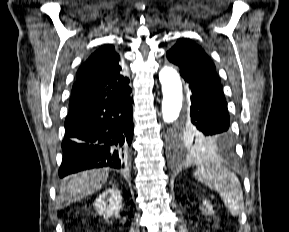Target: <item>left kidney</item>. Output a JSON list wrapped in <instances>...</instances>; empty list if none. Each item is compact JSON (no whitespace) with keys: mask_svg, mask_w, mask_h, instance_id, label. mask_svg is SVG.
<instances>
[{"mask_svg":"<svg viewBox=\"0 0 289 232\" xmlns=\"http://www.w3.org/2000/svg\"><path fill=\"white\" fill-rule=\"evenodd\" d=\"M203 210L206 214L212 215L214 214L213 207L208 200H203Z\"/></svg>","mask_w":289,"mask_h":232,"instance_id":"1","label":"left kidney"}]
</instances>
